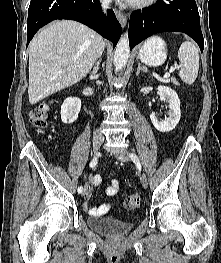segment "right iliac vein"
<instances>
[{
	"mask_svg": "<svg viewBox=\"0 0 221 263\" xmlns=\"http://www.w3.org/2000/svg\"><path fill=\"white\" fill-rule=\"evenodd\" d=\"M102 143H103V138L101 136H94V138H93V150L95 153L99 152ZM86 192H87V187L84 188L81 195L84 196L86 194Z\"/></svg>",
	"mask_w": 221,
	"mask_h": 263,
	"instance_id": "1",
	"label": "right iliac vein"
}]
</instances>
